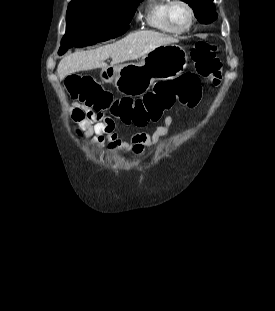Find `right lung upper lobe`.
Segmentation results:
<instances>
[{
	"label": "right lung upper lobe",
	"instance_id": "1",
	"mask_svg": "<svg viewBox=\"0 0 275 311\" xmlns=\"http://www.w3.org/2000/svg\"><path fill=\"white\" fill-rule=\"evenodd\" d=\"M72 2H78V1H86V0H71Z\"/></svg>",
	"mask_w": 275,
	"mask_h": 311
}]
</instances>
